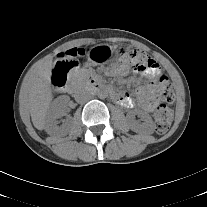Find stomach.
<instances>
[{
  "instance_id": "stomach-1",
  "label": "stomach",
  "mask_w": 207,
  "mask_h": 207,
  "mask_svg": "<svg viewBox=\"0 0 207 207\" xmlns=\"http://www.w3.org/2000/svg\"><path fill=\"white\" fill-rule=\"evenodd\" d=\"M111 47H96L91 53V59L94 62H104L111 55Z\"/></svg>"
}]
</instances>
